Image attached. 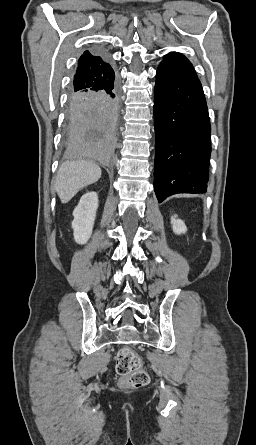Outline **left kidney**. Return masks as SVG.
<instances>
[{"mask_svg": "<svg viewBox=\"0 0 256 445\" xmlns=\"http://www.w3.org/2000/svg\"><path fill=\"white\" fill-rule=\"evenodd\" d=\"M172 229L175 234H183L187 231V227L183 220L177 218L176 215L171 217Z\"/></svg>", "mask_w": 256, "mask_h": 445, "instance_id": "5707ae66", "label": "left kidney"}]
</instances>
